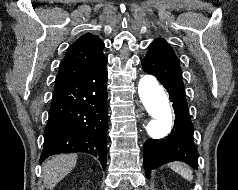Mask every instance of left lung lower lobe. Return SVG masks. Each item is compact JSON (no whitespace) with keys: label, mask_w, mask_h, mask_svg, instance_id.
Masks as SVG:
<instances>
[{"label":"left lung lower lobe","mask_w":238,"mask_h":190,"mask_svg":"<svg viewBox=\"0 0 238 190\" xmlns=\"http://www.w3.org/2000/svg\"><path fill=\"white\" fill-rule=\"evenodd\" d=\"M143 70L155 76L169 93L175 114L174 127L163 139H148L144 144V168L149 175L170 161H184L197 169L198 151L193 141L194 127L186 101L178 58L148 51L142 60Z\"/></svg>","instance_id":"1"}]
</instances>
